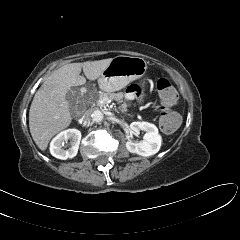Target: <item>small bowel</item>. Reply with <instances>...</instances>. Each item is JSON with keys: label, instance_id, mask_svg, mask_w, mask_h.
<instances>
[{"label": "small bowel", "instance_id": "obj_1", "mask_svg": "<svg viewBox=\"0 0 240 240\" xmlns=\"http://www.w3.org/2000/svg\"><path fill=\"white\" fill-rule=\"evenodd\" d=\"M141 93V90L138 86L136 85H130L127 90H126V99L131 100L134 99L135 97H138Z\"/></svg>", "mask_w": 240, "mask_h": 240}]
</instances>
